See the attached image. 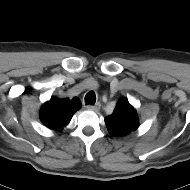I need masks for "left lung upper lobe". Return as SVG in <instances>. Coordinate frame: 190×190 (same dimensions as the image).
Returning <instances> with one entry per match:
<instances>
[{"label":"left lung upper lobe","mask_w":190,"mask_h":190,"mask_svg":"<svg viewBox=\"0 0 190 190\" xmlns=\"http://www.w3.org/2000/svg\"><path fill=\"white\" fill-rule=\"evenodd\" d=\"M105 123L109 133L118 137L128 135L139 127L137 112L126 98L120 99L112 115L105 118Z\"/></svg>","instance_id":"obj_1"}]
</instances>
